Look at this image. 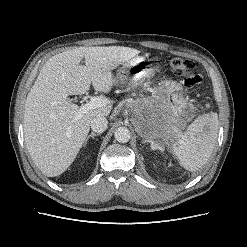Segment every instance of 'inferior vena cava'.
Returning a JSON list of instances; mask_svg holds the SVG:
<instances>
[{
  "label": "inferior vena cava",
  "mask_w": 247,
  "mask_h": 247,
  "mask_svg": "<svg viewBox=\"0 0 247 247\" xmlns=\"http://www.w3.org/2000/svg\"><path fill=\"white\" fill-rule=\"evenodd\" d=\"M108 121L104 116H96L91 121V129L94 132L102 133L107 129Z\"/></svg>",
  "instance_id": "obj_1"
}]
</instances>
